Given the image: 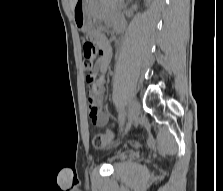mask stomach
I'll list each match as a JSON object with an SVG mask.
<instances>
[{"label":"stomach","mask_w":223,"mask_h":191,"mask_svg":"<svg viewBox=\"0 0 223 191\" xmlns=\"http://www.w3.org/2000/svg\"><path fill=\"white\" fill-rule=\"evenodd\" d=\"M90 0H77L73 9V17L76 27L82 32H88L92 28V21L88 13Z\"/></svg>","instance_id":"0dacf381"}]
</instances>
